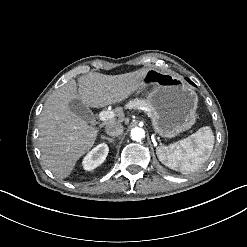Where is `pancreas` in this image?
<instances>
[{
    "mask_svg": "<svg viewBox=\"0 0 247 247\" xmlns=\"http://www.w3.org/2000/svg\"><path fill=\"white\" fill-rule=\"evenodd\" d=\"M146 107L149 109L145 99H133L125 105V109H139Z\"/></svg>",
    "mask_w": 247,
    "mask_h": 247,
    "instance_id": "1",
    "label": "pancreas"
}]
</instances>
